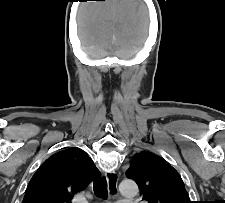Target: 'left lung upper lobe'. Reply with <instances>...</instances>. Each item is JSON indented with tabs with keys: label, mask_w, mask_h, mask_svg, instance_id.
<instances>
[{
	"label": "left lung upper lobe",
	"mask_w": 225,
	"mask_h": 203,
	"mask_svg": "<svg viewBox=\"0 0 225 203\" xmlns=\"http://www.w3.org/2000/svg\"><path fill=\"white\" fill-rule=\"evenodd\" d=\"M148 203H191L178 172L163 158L143 151L126 172Z\"/></svg>",
	"instance_id": "left-lung-upper-lobe-1"
}]
</instances>
